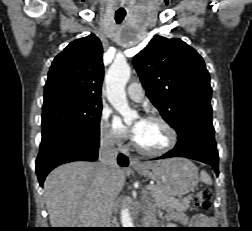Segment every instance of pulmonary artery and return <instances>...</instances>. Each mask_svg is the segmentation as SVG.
Wrapping results in <instances>:
<instances>
[{"label":"pulmonary artery","mask_w":252,"mask_h":231,"mask_svg":"<svg viewBox=\"0 0 252 231\" xmlns=\"http://www.w3.org/2000/svg\"><path fill=\"white\" fill-rule=\"evenodd\" d=\"M126 92L128 96L136 102H140L144 98L143 88L138 82L130 83L126 88Z\"/></svg>","instance_id":"e3ab8cb5"}]
</instances>
